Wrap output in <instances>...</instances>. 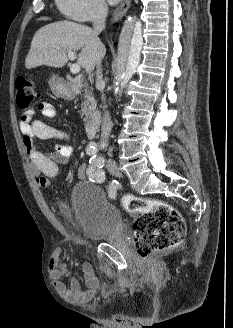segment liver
<instances>
[{
  "label": "liver",
  "instance_id": "liver-1",
  "mask_svg": "<svg viewBox=\"0 0 233 328\" xmlns=\"http://www.w3.org/2000/svg\"><path fill=\"white\" fill-rule=\"evenodd\" d=\"M97 32L72 21H58L41 27L34 35L25 60L32 69L47 65L63 67L68 62V51H80L77 64L90 73L106 53Z\"/></svg>",
  "mask_w": 233,
  "mask_h": 328
}]
</instances>
